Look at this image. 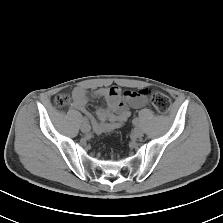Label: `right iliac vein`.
<instances>
[{"label": "right iliac vein", "instance_id": "obj_1", "mask_svg": "<svg viewBox=\"0 0 223 223\" xmlns=\"http://www.w3.org/2000/svg\"><path fill=\"white\" fill-rule=\"evenodd\" d=\"M90 129H91V127H90V125L87 124V123H84V124L81 126V131H82L83 133H89V132H90Z\"/></svg>", "mask_w": 223, "mask_h": 223}]
</instances>
